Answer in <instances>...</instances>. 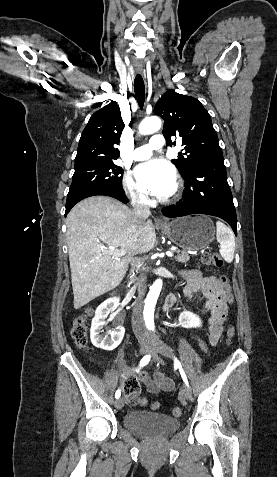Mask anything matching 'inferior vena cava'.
<instances>
[{
    "mask_svg": "<svg viewBox=\"0 0 277 477\" xmlns=\"http://www.w3.org/2000/svg\"><path fill=\"white\" fill-rule=\"evenodd\" d=\"M131 204L133 206L134 214L142 221L146 220L150 216V210L147 205V197L142 194H136L131 196ZM147 289L146 276L141 275L138 288V299L135 302L133 314H132V328L135 336L138 340H141L148 336V330L142 315V303L143 297Z\"/></svg>",
    "mask_w": 277,
    "mask_h": 477,
    "instance_id": "602c4592",
    "label": "inferior vena cava"
}]
</instances>
